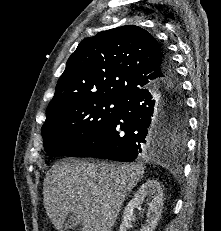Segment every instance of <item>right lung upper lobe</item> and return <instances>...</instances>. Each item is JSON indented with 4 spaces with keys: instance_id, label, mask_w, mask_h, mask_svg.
Masks as SVG:
<instances>
[{
    "instance_id": "1",
    "label": "right lung upper lobe",
    "mask_w": 221,
    "mask_h": 231,
    "mask_svg": "<svg viewBox=\"0 0 221 231\" xmlns=\"http://www.w3.org/2000/svg\"><path fill=\"white\" fill-rule=\"evenodd\" d=\"M163 48L145 29L126 25L86 38L69 57L47 108V117L64 105L90 96L126 99L159 83Z\"/></svg>"
}]
</instances>
